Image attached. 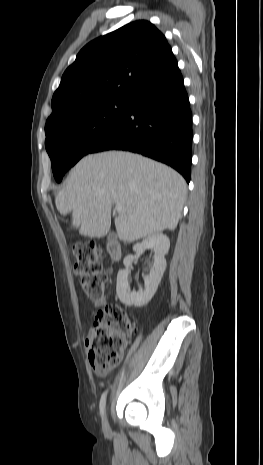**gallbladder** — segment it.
<instances>
[{
    "instance_id": "obj_1",
    "label": "gallbladder",
    "mask_w": 263,
    "mask_h": 465,
    "mask_svg": "<svg viewBox=\"0 0 263 465\" xmlns=\"http://www.w3.org/2000/svg\"><path fill=\"white\" fill-rule=\"evenodd\" d=\"M113 238H114V235L111 234V235H109L108 240H112Z\"/></svg>"
}]
</instances>
